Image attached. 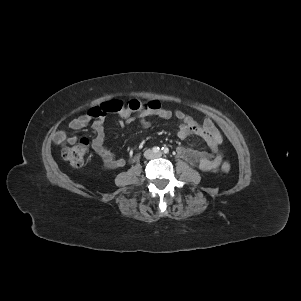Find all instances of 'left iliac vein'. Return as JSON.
Segmentation results:
<instances>
[{
    "mask_svg": "<svg viewBox=\"0 0 301 301\" xmlns=\"http://www.w3.org/2000/svg\"><path fill=\"white\" fill-rule=\"evenodd\" d=\"M157 156H161V152H159V153L157 154Z\"/></svg>",
    "mask_w": 301,
    "mask_h": 301,
    "instance_id": "left-iliac-vein-1",
    "label": "left iliac vein"
}]
</instances>
